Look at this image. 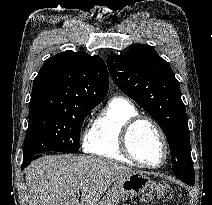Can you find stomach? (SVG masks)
I'll list each match as a JSON object with an SVG mask.
<instances>
[{"instance_id": "stomach-1", "label": "stomach", "mask_w": 212, "mask_h": 205, "mask_svg": "<svg viewBox=\"0 0 212 205\" xmlns=\"http://www.w3.org/2000/svg\"><path fill=\"white\" fill-rule=\"evenodd\" d=\"M151 180L143 172H132L118 178L98 205H118L119 202L135 198L142 194Z\"/></svg>"}]
</instances>
